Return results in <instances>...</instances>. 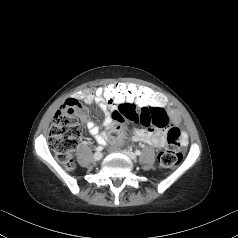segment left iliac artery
Returning <instances> with one entry per match:
<instances>
[{"instance_id":"44dca946","label":"left iliac artery","mask_w":238,"mask_h":238,"mask_svg":"<svg viewBox=\"0 0 238 238\" xmlns=\"http://www.w3.org/2000/svg\"><path fill=\"white\" fill-rule=\"evenodd\" d=\"M135 154L139 156V155H141V152L139 150H136Z\"/></svg>"}]
</instances>
